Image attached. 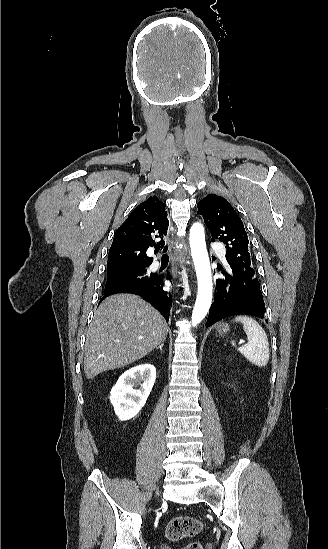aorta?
<instances>
[{
	"label": "aorta",
	"mask_w": 328,
	"mask_h": 549,
	"mask_svg": "<svg viewBox=\"0 0 328 549\" xmlns=\"http://www.w3.org/2000/svg\"><path fill=\"white\" fill-rule=\"evenodd\" d=\"M189 240L198 281V293L191 317L192 324L196 325L207 315L213 294L210 261L206 249L204 227L201 223L192 225Z\"/></svg>",
	"instance_id": "aorta-1"
}]
</instances>
